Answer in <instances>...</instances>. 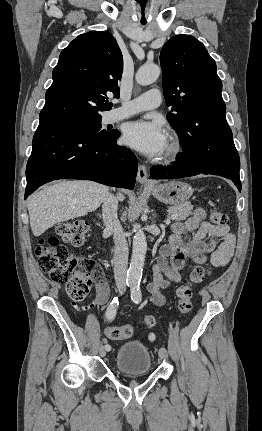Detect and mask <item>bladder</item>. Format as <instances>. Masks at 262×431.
I'll use <instances>...</instances> for the list:
<instances>
[{
  "instance_id": "31cf9c89",
  "label": "bladder",
  "mask_w": 262,
  "mask_h": 431,
  "mask_svg": "<svg viewBox=\"0 0 262 431\" xmlns=\"http://www.w3.org/2000/svg\"><path fill=\"white\" fill-rule=\"evenodd\" d=\"M115 365L119 371L130 375H144L151 371V354L143 340H129L116 353Z\"/></svg>"
}]
</instances>
